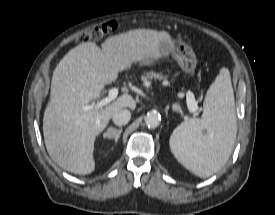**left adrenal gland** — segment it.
<instances>
[{"label":"left adrenal gland","mask_w":275,"mask_h":215,"mask_svg":"<svg viewBox=\"0 0 275 215\" xmlns=\"http://www.w3.org/2000/svg\"><path fill=\"white\" fill-rule=\"evenodd\" d=\"M172 109L174 112L182 114V110H181V107L179 104H177V103L173 104Z\"/></svg>","instance_id":"left-adrenal-gland-1"}]
</instances>
